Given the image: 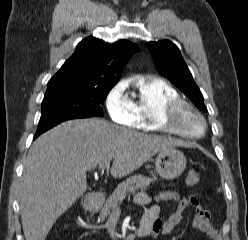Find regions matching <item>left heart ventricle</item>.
Listing matches in <instances>:
<instances>
[{
  "instance_id": "1",
  "label": "left heart ventricle",
  "mask_w": 248,
  "mask_h": 240,
  "mask_svg": "<svg viewBox=\"0 0 248 240\" xmlns=\"http://www.w3.org/2000/svg\"><path fill=\"white\" fill-rule=\"evenodd\" d=\"M181 126L184 129L196 134L200 133L203 128L201 120L190 111H185L182 114Z\"/></svg>"
}]
</instances>
